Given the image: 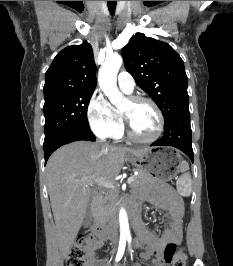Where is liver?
Returning <instances> with one entry per match:
<instances>
[{"label": "liver", "instance_id": "obj_1", "mask_svg": "<svg viewBox=\"0 0 233 266\" xmlns=\"http://www.w3.org/2000/svg\"><path fill=\"white\" fill-rule=\"evenodd\" d=\"M147 150L76 141L51 155L46 174L61 264L81 228L92 194L88 182L77 181L90 177L112 180L121 172L127 154L140 156Z\"/></svg>", "mask_w": 233, "mask_h": 266}]
</instances>
